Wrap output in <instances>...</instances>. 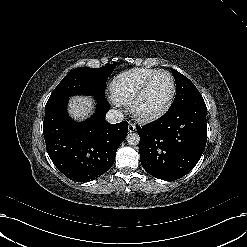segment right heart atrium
I'll return each mask as SVG.
<instances>
[{
	"mask_svg": "<svg viewBox=\"0 0 247 247\" xmlns=\"http://www.w3.org/2000/svg\"><path fill=\"white\" fill-rule=\"evenodd\" d=\"M111 102L112 104L117 107V108H120L122 107L124 104L122 102H120L117 98H115L114 96H111Z\"/></svg>",
	"mask_w": 247,
	"mask_h": 247,
	"instance_id": "1",
	"label": "right heart atrium"
}]
</instances>
